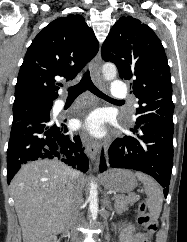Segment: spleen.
I'll return each instance as SVG.
<instances>
[{
  "instance_id": "spleen-1",
  "label": "spleen",
  "mask_w": 187,
  "mask_h": 242,
  "mask_svg": "<svg viewBox=\"0 0 187 242\" xmlns=\"http://www.w3.org/2000/svg\"><path fill=\"white\" fill-rule=\"evenodd\" d=\"M135 176L143 183L147 195L146 203L154 220L159 218L163 204V194L156 181L143 173L136 172Z\"/></svg>"
}]
</instances>
